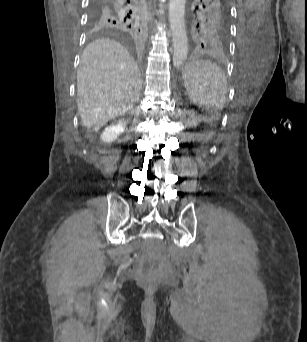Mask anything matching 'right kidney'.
<instances>
[{
  "instance_id": "1",
  "label": "right kidney",
  "mask_w": 307,
  "mask_h": 342,
  "mask_svg": "<svg viewBox=\"0 0 307 342\" xmlns=\"http://www.w3.org/2000/svg\"><path fill=\"white\" fill-rule=\"evenodd\" d=\"M126 122H123V120H118V122H115V124H111V126H107L105 128L104 132H102L100 138L102 142H114L124 130H126Z\"/></svg>"
}]
</instances>
